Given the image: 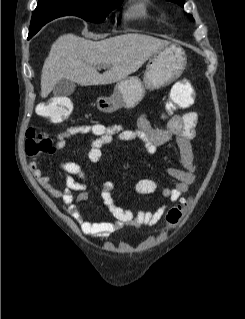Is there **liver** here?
Segmentation results:
<instances>
[{
  "label": "liver",
  "mask_w": 245,
  "mask_h": 319,
  "mask_svg": "<svg viewBox=\"0 0 245 319\" xmlns=\"http://www.w3.org/2000/svg\"><path fill=\"white\" fill-rule=\"evenodd\" d=\"M170 42L149 35L128 33L101 41L74 34L60 36L51 46L41 74V97L46 98L61 79L81 86L108 85L136 72ZM98 65H106L103 74Z\"/></svg>",
  "instance_id": "obj_1"
}]
</instances>
